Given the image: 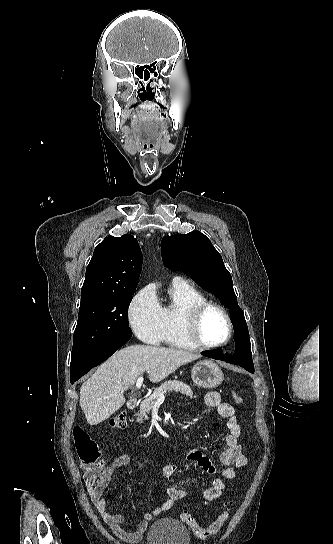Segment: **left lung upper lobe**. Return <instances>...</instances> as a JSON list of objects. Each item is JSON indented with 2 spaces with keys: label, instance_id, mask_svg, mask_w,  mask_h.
Segmentation results:
<instances>
[{
  "label": "left lung upper lobe",
  "instance_id": "1",
  "mask_svg": "<svg viewBox=\"0 0 333 544\" xmlns=\"http://www.w3.org/2000/svg\"><path fill=\"white\" fill-rule=\"evenodd\" d=\"M161 250L163 261L169 269L189 274L202 288L220 297L230 309L233 326L244 328L247 340L245 349H236V360L253 363L247 325L237 303L232 277L208 237L199 231L166 236L161 241Z\"/></svg>",
  "mask_w": 333,
  "mask_h": 544
}]
</instances>
